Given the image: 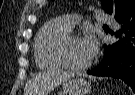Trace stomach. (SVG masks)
Segmentation results:
<instances>
[{"label": "stomach", "mask_w": 135, "mask_h": 95, "mask_svg": "<svg viewBox=\"0 0 135 95\" xmlns=\"http://www.w3.org/2000/svg\"><path fill=\"white\" fill-rule=\"evenodd\" d=\"M91 90V81L78 77L63 83V92L60 95H87Z\"/></svg>", "instance_id": "1"}]
</instances>
